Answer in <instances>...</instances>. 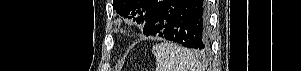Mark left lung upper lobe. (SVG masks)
I'll use <instances>...</instances> for the list:
<instances>
[{
	"instance_id": "left-lung-upper-lobe-1",
	"label": "left lung upper lobe",
	"mask_w": 301,
	"mask_h": 71,
	"mask_svg": "<svg viewBox=\"0 0 301 71\" xmlns=\"http://www.w3.org/2000/svg\"><path fill=\"white\" fill-rule=\"evenodd\" d=\"M161 0H113V9L127 18H134L138 23H144Z\"/></svg>"
}]
</instances>
